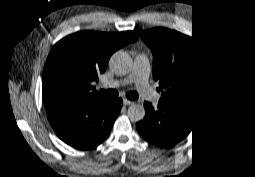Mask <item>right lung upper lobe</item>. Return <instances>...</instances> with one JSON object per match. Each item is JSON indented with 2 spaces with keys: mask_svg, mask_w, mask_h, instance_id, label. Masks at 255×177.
Segmentation results:
<instances>
[{
  "mask_svg": "<svg viewBox=\"0 0 255 177\" xmlns=\"http://www.w3.org/2000/svg\"><path fill=\"white\" fill-rule=\"evenodd\" d=\"M137 39L138 34L133 31H82L56 43L45 63L42 78V97L47 109L100 96L93 90L91 82L105 72L111 55L117 49ZM66 92L73 95L62 101L61 96Z\"/></svg>",
  "mask_w": 255,
  "mask_h": 177,
  "instance_id": "obj_1",
  "label": "right lung upper lobe"
}]
</instances>
